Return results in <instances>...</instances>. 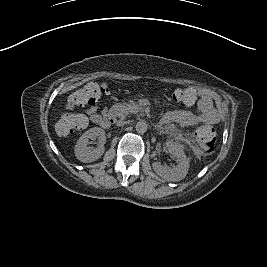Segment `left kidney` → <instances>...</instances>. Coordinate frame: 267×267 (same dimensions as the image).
Masks as SVG:
<instances>
[{"mask_svg":"<svg viewBox=\"0 0 267 267\" xmlns=\"http://www.w3.org/2000/svg\"><path fill=\"white\" fill-rule=\"evenodd\" d=\"M165 146L177 164L169 167L155 161L152 163L153 170L157 175L168 181H177L184 178L189 170L190 159L185 155L183 147L171 140L166 141Z\"/></svg>","mask_w":267,"mask_h":267,"instance_id":"left-kidney-1","label":"left kidney"}]
</instances>
